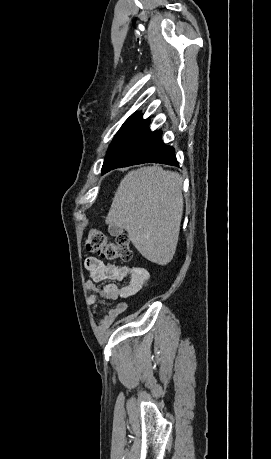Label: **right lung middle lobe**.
<instances>
[{
	"label": "right lung middle lobe",
	"mask_w": 271,
	"mask_h": 459,
	"mask_svg": "<svg viewBox=\"0 0 271 459\" xmlns=\"http://www.w3.org/2000/svg\"><path fill=\"white\" fill-rule=\"evenodd\" d=\"M149 123L150 121L148 119H142L140 114L131 115L124 122L121 129L110 144L102 170L113 159V157L142 130H144L149 125Z\"/></svg>",
	"instance_id": "obj_1"
}]
</instances>
